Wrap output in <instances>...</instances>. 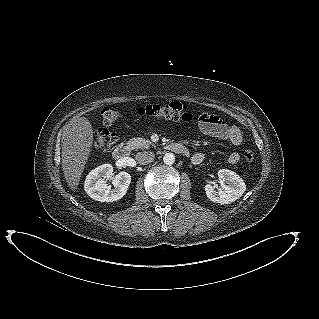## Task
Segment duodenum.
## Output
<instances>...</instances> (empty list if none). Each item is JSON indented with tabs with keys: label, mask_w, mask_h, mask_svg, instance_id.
Instances as JSON below:
<instances>
[{
	"label": "duodenum",
	"mask_w": 319,
	"mask_h": 319,
	"mask_svg": "<svg viewBox=\"0 0 319 319\" xmlns=\"http://www.w3.org/2000/svg\"><path fill=\"white\" fill-rule=\"evenodd\" d=\"M166 148L172 152L179 154H188V150L185 146L179 143H169L166 145ZM130 151V146L128 143H121L113 150V158L116 160H122L128 156Z\"/></svg>",
	"instance_id": "1"
}]
</instances>
